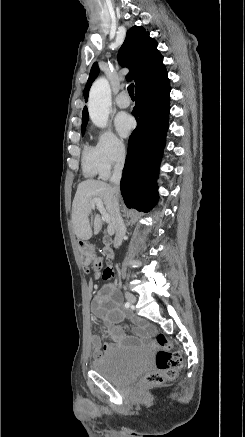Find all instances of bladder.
Listing matches in <instances>:
<instances>
[{
  "label": "bladder",
  "instance_id": "31cf9c89",
  "mask_svg": "<svg viewBox=\"0 0 245 437\" xmlns=\"http://www.w3.org/2000/svg\"><path fill=\"white\" fill-rule=\"evenodd\" d=\"M152 361L148 348H114L92 362V369L115 384H126L146 371Z\"/></svg>",
  "mask_w": 245,
  "mask_h": 437
}]
</instances>
